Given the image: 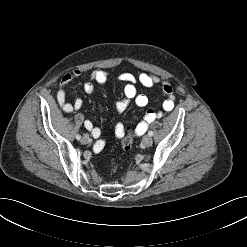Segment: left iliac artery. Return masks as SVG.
<instances>
[{"instance_id":"1","label":"left iliac artery","mask_w":247,"mask_h":247,"mask_svg":"<svg viewBox=\"0 0 247 247\" xmlns=\"http://www.w3.org/2000/svg\"><path fill=\"white\" fill-rule=\"evenodd\" d=\"M153 134H154L153 131H149V132H148V135H149V136H153Z\"/></svg>"}]
</instances>
